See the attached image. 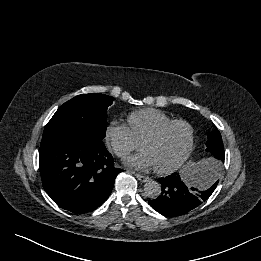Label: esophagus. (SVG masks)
Segmentation results:
<instances>
[{"instance_id": "1", "label": "esophagus", "mask_w": 261, "mask_h": 261, "mask_svg": "<svg viewBox=\"0 0 261 261\" xmlns=\"http://www.w3.org/2000/svg\"><path fill=\"white\" fill-rule=\"evenodd\" d=\"M135 176L137 177L138 180L141 182H148L150 178L148 176L140 175L138 173H135Z\"/></svg>"}]
</instances>
